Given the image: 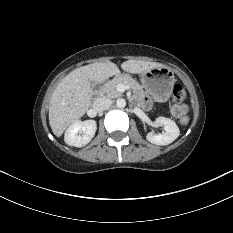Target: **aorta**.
<instances>
[{
    "label": "aorta",
    "mask_w": 233,
    "mask_h": 233,
    "mask_svg": "<svg viewBox=\"0 0 233 233\" xmlns=\"http://www.w3.org/2000/svg\"><path fill=\"white\" fill-rule=\"evenodd\" d=\"M116 106H117L118 108H124V107L126 106V101H125V99H123V98L117 99V101H116Z\"/></svg>",
    "instance_id": "762f6f07"
}]
</instances>
